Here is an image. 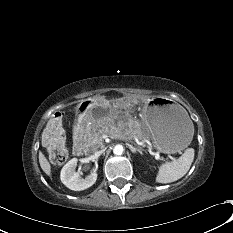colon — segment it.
Masks as SVG:
<instances>
[{
  "label": "colon",
  "instance_id": "obj_1",
  "mask_svg": "<svg viewBox=\"0 0 233 233\" xmlns=\"http://www.w3.org/2000/svg\"><path fill=\"white\" fill-rule=\"evenodd\" d=\"M44 145L49 159L53 164H63L68 157L66 141L62 119L58 114H54L49 120L45 133Z\"/></svg>",
  "mask_w": 233,
  "mask_h": 233
}]
</instances>
